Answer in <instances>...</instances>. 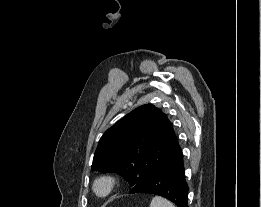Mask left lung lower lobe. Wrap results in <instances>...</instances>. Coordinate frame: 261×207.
<instances>
[{"instance_id":"left-lung-lower-lobe-1","label":"left lung lower lobe","mask_w":261,"mask_h":207,"mask_svg":"<svg viewBox=\"0 0 261 207\" xmlns=\"http://www.w3.org/2000/svg\"><path fill=\"white\" fill-rule=\"evenodd\" d=\"M129 193L155 194L169 199L178 207H188V185L185 180L183 153L137 183Z\"/></svg>"}]
</instances>
